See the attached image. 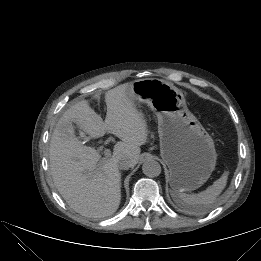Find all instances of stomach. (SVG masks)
I'll return each mask as SVG.
<instances>
[{
    "label": "stomach",
    "mask_w": 261,
    "mask_h": 261,
    "mask_svg": "<svg viewBox=\"0 0 261 261\" xmlns=\"http://www.w3.org/2000/svg\"><path fill=\"white\" fill-rule=\"evenodd\" d=\"M134 103L147 104L158 119L160 154L170 172L174 193L201 187L215 169L214 141L189 111L180 89L158 78L134 81Z\"/></svg>",
    "instance_id": "obj_1"
}]
</instances>
